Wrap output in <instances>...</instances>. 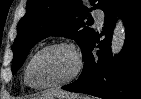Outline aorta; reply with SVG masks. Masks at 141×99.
<instances>
[{
    "label": "aorta",
    "instance_id": "aorta-1",
    "mask_svg": "<svg viewBox=\"0 0 141 99\" xmlns=\"http://www.w3.org/2000/svg\"><path fill=\"white\" fill-rule=\"evenodd\" d=\"M125 36V27L123 22L121 19H118L113 31L111 42V52L113 55L118 54L122 50L125 43Z\"/></svg>",
    "mask_w": 141,
    "mask_h": 99
}]
</instances>
